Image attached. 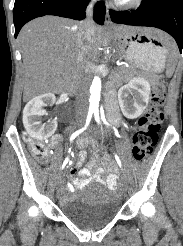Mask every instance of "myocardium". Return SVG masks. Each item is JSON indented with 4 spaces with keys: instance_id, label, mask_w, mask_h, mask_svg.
<instances>
[{
    "instance_id": "f54148a6",
    "label": "myocardium",
    "mask_w": 183,
    "mask_h": 246,
    "mask_svg": "<svg viewBox=\"0 0 183 246\" xmlns=\"http://www.w3.org/2000/svg\"><path fill=\"white\" fill-rule=\"evenodd\" d=\"M142 0H115V6L120 9H132L137 7Z\"/></svg>"
}]
</instances>
